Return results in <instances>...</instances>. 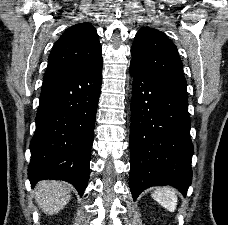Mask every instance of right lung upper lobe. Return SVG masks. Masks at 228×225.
Listing matches in <instances>:
<instances>
[{
    "mask_svg": "<svg viewBox=\"0 0 228 225\" xmlns=\"http://www.w3.org/2000/svg\"><path fill=\"white\" fill-rule=\"evenodd\" d=\"M102 46L90 23L75 24L55 42L44 79L72 73L102 58Z\"/></svg>",
    "mask_w": 228,
    "mask_h": 225,
    "instance_id": "obj_1",
    "label": "right lung upper lobe"
}]
</instances>
